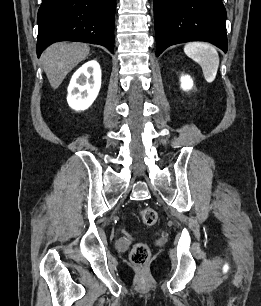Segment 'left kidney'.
Masks as SVG:
<instances>
[{
    "instance_id": "1",
    "label": "left kidney",
    "mask_w": 261,
    "mask_h": 306,
    "mask_svg": "<svg viewBox=\"0 0 261 306\" xmlns=\"http://www.w3.org/2000/svg\"><path fill=\"white\" fill-rule=\"evenodd\" d=\"M180 82H181V88L184 91H188L193 87V80L189 75L181 76Z\"/></svg>"
}]
</instances>
